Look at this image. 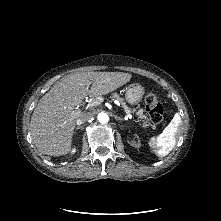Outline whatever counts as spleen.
Here are the masks:
<instances>
[{
  "label": "spleen",
  "mask_w": 221,
  "mask_h": 221,
  "mask_svg": "<svg viewBox=\"0 0 221 221\" xmlns=\"http://www.w3.org/2000/svg\"><path fill=\"white\" fill-rule=\"evenodd\" d=\"M181 122L180 115L176 113L163 132L156 138L150 140V146L158 157L168 155L175 147L176 134Z\"/></svg>",
  "instance_id": "3e777b00"
}]
</instances>
